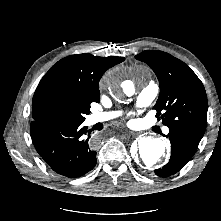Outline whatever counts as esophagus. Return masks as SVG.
Segmentation results:
<instances>
[{
	"mask_svg": "<svg viewBox=\"0 0 221 221\" xmlns=\"http://www.w3.org/2000/svg\"><path fill=\"white\" fill-rule=\"evenodd\" d=\"M124 133H125L124 136H133V135H135V133L132 132V131H125Z\"/></svg>",
	"mask_w": 221,
	"mask_h": 221,
	"instance_id": "34e87169",
	"label": "esophagus"
}]
</instances>
